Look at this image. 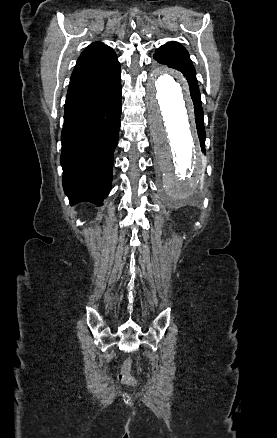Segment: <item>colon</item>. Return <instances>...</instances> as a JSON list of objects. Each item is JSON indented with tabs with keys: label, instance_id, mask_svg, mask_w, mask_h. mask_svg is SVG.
Returning a JSON list of instances; mask_svg holds the SVG:
<instances>
[{
	"label": "colon",
	"instance_id": "5ec220e1",
	"mask_svg": "<svg viewBox=\"0 0 277 438\" xmlns=\"http://www.w3.org/2000/svg\"><path fill=\"white\" fill-rule=\"evenodd\" d=\"M118 380L122 384H132L133 383V379L130 377L129 373L125 372V371L120 372V374L118 375Z\"/></svg>",
	"mask_w": 277,
	"mask_h": 438
}]
</instances>
